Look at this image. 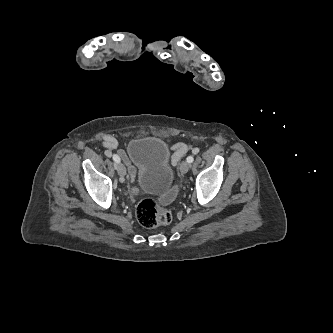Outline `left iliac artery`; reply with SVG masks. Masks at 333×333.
Wrapping results in <instances>:
<instances>
[{"label":"left iliac artery","mask_w":333,"mask_h":333,"mask_svg":"<svg viewBox=\"0 0 333 333\" xmlns=\"http://www.w3.org/2000/svg\"><path fill=\"white\" fill-rule=\"evenodd\" d=\"M194 160L193 156H188L187 157V162L192 163Z\"/></svg>","instance_id":"44dca946"}]
</instances>
